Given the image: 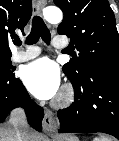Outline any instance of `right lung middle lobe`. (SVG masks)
Instances as JSON below:
<instances>
[{"mask_svg":"<svg viewBox=\"0 0 119 141\" xmlns=\"http://www.w3.org/2000/svg\"><path fill=\"white\" fill-rule=\"evenodd\" d=\"M10 57H0V76L2 77L10 78L13 76Z\"/></svg>","mask_w":119,"mask_h":141,"instance_id":"obj_1","label":"right lung middle lobe"}]
</instances>
